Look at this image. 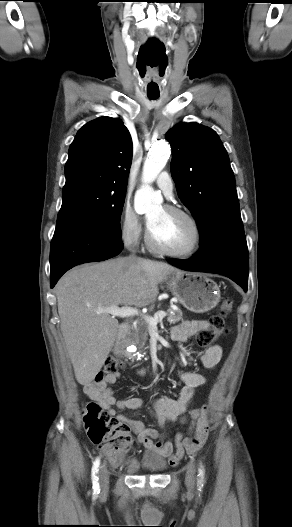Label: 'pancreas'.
I'll return each mask as SVG.
<instances>
[{
  "instance_id": "obj_1",
  "label": "pancreas",
  "mask_w": 292,
  "mask_h": 527,
  "mask_svg": "<svg viewBox=\"0 0 292 527\" xmlns=\"http://www.w3.org/2000/svg\"><path fill=\"white\" fill-rule=\"evenodd\" d=\"M168 318L167 321L170 324H175L183 320V313L181 310H175L169 308L167 310ZM149 326L145 320L137 321L134 329L128 335V341L130 343L143 346L148 339Z\"/></svg>"
}]
</instances>
